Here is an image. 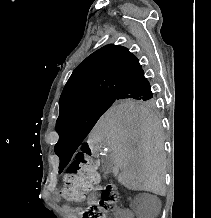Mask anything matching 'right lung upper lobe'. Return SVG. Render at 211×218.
<instances>
[{"label":"right lung upper lobe","instance_id":"1","mask_svg":"<svg viewBox=\"0 0 211 218\" xmlns=\"http://www.w3.org/2000/svg\"><path fill=\"white\" fill-rule=\"evenodd\" d=\"M141 68L127 48L113 44L102 47L73 71L59 100L60 114L89 99L120 97L123 86Z\"/></svg>","mask_w":211,"mask_h":218}]
</instances>
